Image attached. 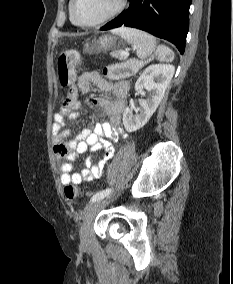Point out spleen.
I'll return each instance as SVG.
<instances>
[{
    "label": "spleen",
    "instance_id": "obj_1",
    "mask_svg": "<svg viewBox=\"0 0 233 284\" xmlns=\"http://www.w3.org/2000/svg\"><path fill=\"white\" fill-rule=\"evenodd\" d=\"M114 32L136 49V54L140 59H146L154 51L161 60L174 57L170 48L165 45L157 46L155 38L144 31L133 28H119Z\"/></svg>",
    "mask_w": 233,
    "mask_h": 284
}]
</instances>
